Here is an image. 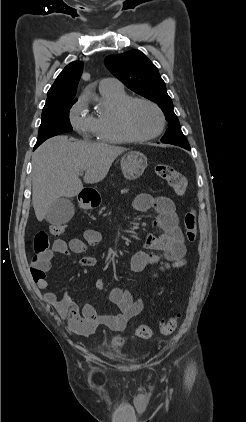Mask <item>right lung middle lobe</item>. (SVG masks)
<instances>
[{
	"label": "right lung middle lobe",
	"mask_w": 246,
	"mask_h": 422,
	"mask_svg": "<svg viewBox=\"0 0 246 422\" xmlns=\"http://www.w3.org/2000/svg\"><path fill=\"white\" fill-rule=\"evenodd\" d=\"M76 101H64L43 108L35 149L50 137L73 131L69 120V111Z\"/></svg>",
	"instance_id": "obj_1"
}]
</instances>
